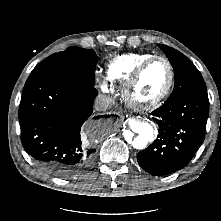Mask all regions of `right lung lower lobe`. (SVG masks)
I'll use <instances>...</instances> for the list:
<instances>
[{"label": "right lung lower lobe", "mask_w": 221, "mask_h": 221, "mask_svg": "<svg viewBox=\"0 0 221 221\" xmlns=\"http://www.w3.org/2000/svg\"><path fill=\"white\" fill-rule=\"evenodd\" d=\"M97 94L93 85L49 68L33 71L28 77L19 106L21 141L44 171L68 178L93 159L95 148L84 147L80 131L88 120L96 135L102 122L101 117L92 115Z\"/></svg>", "instance_id": "right-lung-lower-lobe-1"}]
</instances>
